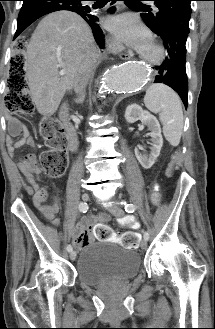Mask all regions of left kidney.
I'll return each instance as SVG.
<instances>
[{"label": "left kidney", "mask_w": 215, "mask_h": 329, "mask_svg": "<svg viewBox=\"0 0 215 329\" xmlns=\"http://www.w3.org/2000/svg\"><path fill=\"white\" fill-rule=\"evenodd\" d=\"M125 119L128 123H134L140 120L144 125H147L151 136L152 147L149 155L141 154L138 149H135V156L141 166L145 169H149L155 163V160L160 154L163 138L161 135V128L158 120L155 116L148 111L143 110L139 105L132 104L126 108Z\"/></svg>", "instance_id": "obj_1"}]
</instances>
